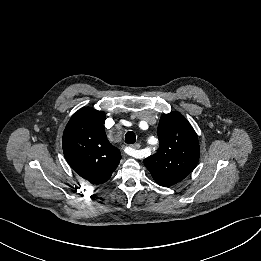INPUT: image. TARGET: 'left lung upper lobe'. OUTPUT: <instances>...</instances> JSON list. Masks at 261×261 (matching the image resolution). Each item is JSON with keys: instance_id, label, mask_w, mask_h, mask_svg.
Masks as SVG:
<instances>
[{"instance_id": "1", "label": "left lung upper lobe", "mask_w": 261, "mask_h": 261, "mask_svg": "<svg viewBox=\"0 0 261 261\" xmlns=\"http://www.w3.org/2000/svg\"><path fill=\"white\" fill-rule=\"evenodd\" d=\"M157 134L159 149L144 159V164L159 185L169 187L183 180L197 165L198 138L190 123L178 112L161 116Z\"/></svg>"}]
</instances>
